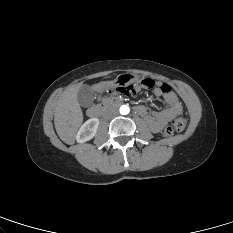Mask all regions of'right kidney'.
<instances>
[{
    "label": "right kidney",
    "instance_id": "right-kidney-1",
    "mask_svg": "<svg viewBox=\"0 0 233 233\" xmlns=\"http://www.w3.org/2000/svg\"><path fill=\"white\" fill-rule=\"evenodd\" d=\"M99 119L97 118H91L87 120L79 129L77 135H76V140L78 143H84L86 141L91 140L96 132L97 128L99 126Z\"/></svg>",
    "mask_w": 233,
    "mask_h": 233
}]
</instances>
